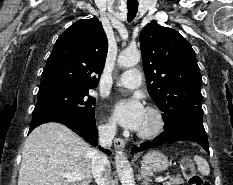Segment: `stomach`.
Listing matches in <instances>:
<instances>
[{
	"instance_id": "1",
	"label": "stomach",
	"mask_w": 233,
	"mask_h": 185,
	"mask_svg": "<svg viewBox=\"0 0 233 185\" xmlns=\"http://www.w3.org/2000/svg\"><path fill=\"white\" fill-rule=\"evenodd\" d=\"M142 168L150 172H162L169 166L168 158L157 150L146 153L141 161Z\"/></svg>"
}]
</instances>
